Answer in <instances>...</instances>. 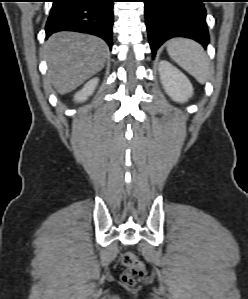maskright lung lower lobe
Wrapping results in <instances>:
<instances>
[{
	"mask_svg": "<svg viewBox=\"0 0 248 299\" xmlns=\"http://www.w3.org/2000/svg\"><path fill=\"white\" fill-rule=\"evenodd\" d=\"M114 0H54L46 23V37L58 31L96 35L112 47Z\"/></svg>",
	"mask_w": 248,
	"mask_h": 299,
	"instance_id": "98d812e1",
	"label": "right lung lower lobe"
}]
</instances>
